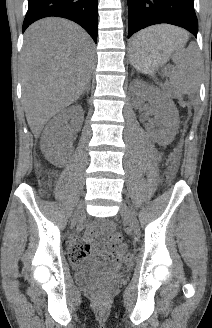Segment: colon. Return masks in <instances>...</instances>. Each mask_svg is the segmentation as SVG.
Here are the masks:
<instances>
[{
  "label": "colon",
  "mask_w": 212,
  "mask_h": 328,
  "mask_svg": "<svg viewBox=\"0 0 212 328\" xmlns=\"http://www.w3.org/2000/svg\"><path fill=\"white\" fill-rule=\"evenodd\" d=\"M169 167L172 172L175 170V168H176V158L175 157L171 158V160L169 162ZM109 239L113 244L117 245V251L119 253H124L127 250V245L123 242V238L120 233L114 232V231L109 232ZM71 259L73 262H78V260L76 259L75 256H72ZM132 259L133 258L131 255L126 256L127 263H130L132 261ZM104 297H105V291L100 290L97 292V298L102 299Z\"/></svg>",
  "instance_id": "5ec220e1"
}]
</instances>
